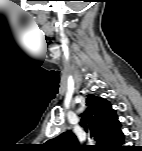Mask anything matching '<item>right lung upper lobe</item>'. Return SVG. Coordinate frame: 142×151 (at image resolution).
Listing matches in <instances>:
<instances>
[{
	"label": "right lung upper lobe",
	"instance_id": "1",
	"mask_svg": "<svg viewBox=\"0 0 142 151\" xmlns=\"http://www.w3.org/2000/svg\"><path fill=\"white\" fill-rule=\"evenodd\" d=\"M86 106L81 114L80 125L90 137L98 138L99 149L113 150L124 138L116 111L112 109L110 102L91 94L87 95ZM45 145L47 149L58 151L92 149L90 146H80L71 130L47 141Z\"/></svg>",
	"mask_w": 142,
	"mask_h": 151
}]
</instances>
